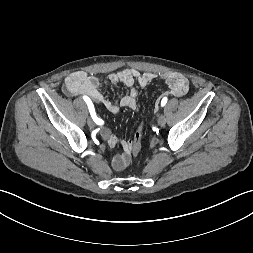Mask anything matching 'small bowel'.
Masks as SVG:
<instances>
[{
	"instance_id": "c3829d8e",
	"label": "small bowel",
	"mask_w": 253,
	"mask_h": 253,
	"mask_svg": "<svg viewBox=\"0 0 253 253\" xmlns=\"http://www.w3.org/2000/svg\"><path fill=\"white\" fill-rule=\"evenodd\" d=\"M164 80L169 86V93L175 97L184 96L189 90V83L186 77L176 71H168L160 74L140 73L133 68H125L113 72L108 77L107 85L124 84L129 88L126 95L119 96L116 100H109L101 91V81L85 71H75L70 73L64 82V92L69 96L84 95L95 103H100L113 114H118L122 108L138 110L137 97L138 90L136 84L145 88L156 79ZM101 137L113 149L121 148L122 153L117 154L112 166L115 170H123L129 163V151L131 141H123L116 138L109 128L103 127L100 130Z\"/></svg>"
}]
</instances>
